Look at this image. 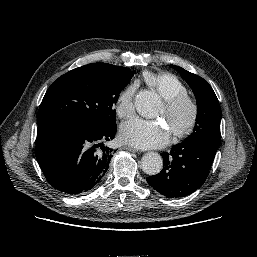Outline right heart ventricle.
Returning a JSON list of instances; mask_svg holds the SVG:
<instances>
[{
  "instance_id": "right-heart-ventricle-1",
  "label": "right heart ventricle",
  "mask_w": 257,
  "mask_h": 257,
  "mask_svg": "<svg viewBox=\"0 0 257 257\" xmlns=\"http://www.w3.org/2000/svg\"><path fill=\"white\" fill-rule=\"evenodd\" d=\"M142 78L144 82L150 88L155 90L163 99L187 93V88L183 82L171 73L144 72Z\"/></svg>"
}]
</instances>
